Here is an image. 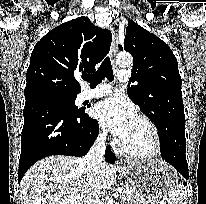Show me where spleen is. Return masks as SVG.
Segmentation results:
<instances>
[{
  "mask_svg": "<svg viewBox=\"0 0 206 204\" xmlns=\"http://www.w3.org/2000/svg\"><path fill=\"white\" fill-rule=\"evenodd\" d=\"M186 197V191L184 186L180 185L176 189L172 190L167 197L168 204H185L183 203Z\"/></svg>",
  "mask_w": 206,
  "mask_h": 204,
  "instance_id": "3e777b00",
  "label": "spleen"
}]
</instances>
